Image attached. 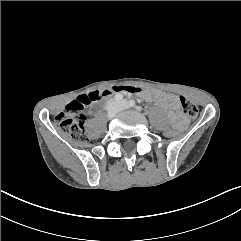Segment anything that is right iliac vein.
Here are the masks:
<instances>
[{"label": "right iliac vein", "instance_id": "obj_1", "mask_svg": "<svg viewBox=\"0 0 241 241\" xmlns=\"http://www.w3.org/2000/svg\"><path fill=\"white\" fill-rule=\"evenodd\" d=\"M119 111V105L115 102L111 103L108 107V117L113 118Z\"/></svg>", "mask_w": 241, "mask_h": 241}]
</instances>
